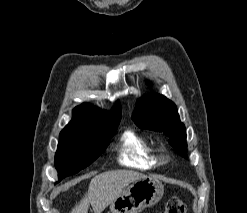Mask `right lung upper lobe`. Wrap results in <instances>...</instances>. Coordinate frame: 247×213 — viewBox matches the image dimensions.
Segmentation results:
<instances>
[{"label":"right lung upper lobe","instance_id":"right-lung-upper-lobe-1","mask_svg":"<svg viewBox=\"0 0 247 213\" xmlns=\"http://www.w3.org/2000/svg\"><path fill=\"white\" fill-rule=\"evenodd\" d=\"M121 106L116 104L110 112L100 110L89 103H83L73 110V118L60 134H86L102 127L119 123Z\"/></svg>","mask_w":247,"mask_h":213}]
</instances>
